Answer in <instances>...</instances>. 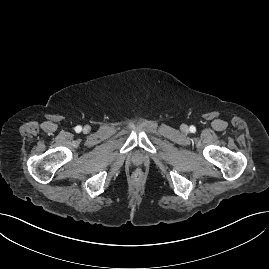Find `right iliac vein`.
<instances>
[{"instance_id":"63e3f726","label":"right iliac vein","mask_w":269,"mask_h":269,"mask_svg":"<svg viewBox=\"0 0 269 269\" xmlns=\"http://www.w3.org/2000/svg\"><path fill=\"white\" fill-rule=\"evenodd\" d=\"M89 131H90V126H88V125L85 126V127H84V132L87 133V132H89Z\"/></svg>"}]
</instances>
